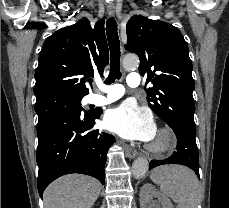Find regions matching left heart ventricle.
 Masks as SVG:
<instances>
[{
  "label": "left heart ventricle",
  "instance_id": "1",
  "mask_svg": "<svg viewBox=\"0 0 229 208\" xmlns=\"http://www.w3.org/2000/svg\"><path fill=\"white\" fill-rule=\"evenodd\" d=\"M166 137L163 135L155 134L154 137L151 139L150 143H153L159 146V142H165Z\"/></svg>",
  "mask_w": 229,
  "mask_h": 208
}]
</instances>
